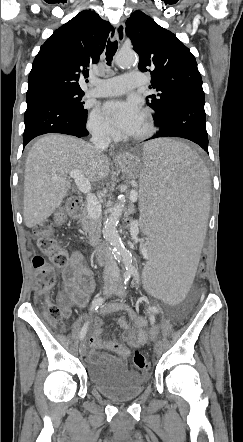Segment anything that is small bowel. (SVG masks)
Here are the masks:
<instances>
[{
    "mask_svg": "<svg viewBox=\"0 0 243 442\" xmlns=\"http://www.w3.org/2000/svg\"><path fill=\"white\" fill-rule=\"evenodd\" d=\"M63 290L58 294V305L66 313L70 314L72 305L84 307L90 293L94 288V279L91 271L85 264L84 257L79 251H73L68 265L62 271ZM124 309L128 312V318L135 326L132 330L129 321L125 317H119L118 325L124 330L123 338L125 343H119L113 340H103V321L97 318L94 321V334L89 339V344L93 353L97 350H108L118 355V361L121 365H126V359L130 353V347L138 348L144 345L147 340L155 334V330H146L147 321L137 316V314L128 305L117 304L109 305L104 308V312Z\"/></svg>",
    "mask_w": 243,
    "mask_h": 442,
    "instance_id": "obj_1",
    "label": "small bowel"
}]
</instances>
